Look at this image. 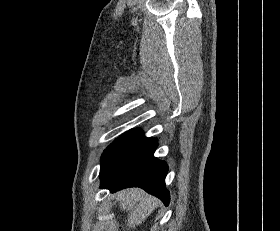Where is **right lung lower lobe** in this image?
I'll list each match as a JSON object with an SVG mask.
<instances>
[{
	"mask_svg": "<svg viewBox=\"0 0 280 231\" xmlns=\"http://www.w3.org/2000/svg\"><path fill=\"white\" fill-rule=\"evenodd\" d=\"M157 141L133 129L115 140L102 155L101 188L116 192L127 187H141L167 206L169 192L165 188L166 162L153 156Z\"/></svg>",
	"mask_w": 280,
	"mask_h": 231,
	"instance_id": "1",
	"label": "right lung lower lobe"
}]
</instances>
